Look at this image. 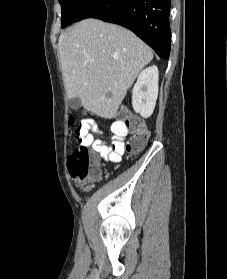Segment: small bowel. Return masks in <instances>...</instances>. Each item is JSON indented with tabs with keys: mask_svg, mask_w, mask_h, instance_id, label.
<instances>
[{
	"mask_svg": "<svg viewBox=\"0 0 227 279\" xmlns=\"http://www.w3.org/2000/svg\"><path fill=\"white\" fill-rule=\"evenodd\" d=\"M85 126L82 129H87L91 132L92 142L91 148L94 152L99 154L102 158L112 163H118L121 161L123 155L127 152L126 150V136L127 130L119 121L111 122L110 130L112 133V143L108 145L102 138L93 137L94 135H102L106 129L105 120H94L89 119L85 122ZM74 181L80 184L78 178H74Z\"/></svg>",
	"mask_w": 227,
	"mask_h": 279,
	"instance_id": "obj_1",
	"label": "small bowel"
}]
</instances>
